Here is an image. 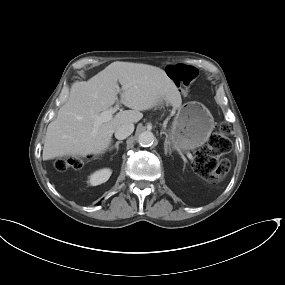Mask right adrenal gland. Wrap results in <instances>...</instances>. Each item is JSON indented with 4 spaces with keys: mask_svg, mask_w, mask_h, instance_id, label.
Listing matches in <instances>:
<instances>
[{
    "mask_svg": "<svg viewBox=\"0 0 285 285\" xmlns=\"http://www.w3.org/2000/svg\"><path fill=\"white\" fill-rule=\"evenodd\" d=\"M121 143H123V141H117L116 143H115V145H113V146H111L110 147V151L111 150H113L114 148H116V150H117V152H118V150H119V144H121Z\"/></svg>",
    "mask_w": 285,
    "mask_h": 285,
    "instance_id": "right-adrenal-gland-1",
    "label": "right adrenal gland"
}]
</instances>
